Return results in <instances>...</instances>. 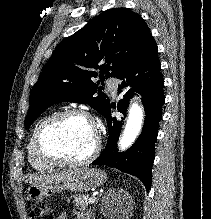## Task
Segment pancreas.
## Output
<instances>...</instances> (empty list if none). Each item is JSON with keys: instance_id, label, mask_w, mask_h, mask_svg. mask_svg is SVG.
Wrapping results in <instances>:
<instances>
[{"instance_id": "cf45deb5", "label": "pancreas", "mask_w": 211, "mask_h": 219, "mask_svg": "<svg viewBox=\"0 0 211 219\" xmlns=\"http://www.w3.org/2000/svg\"><path fill=\"white\" fill-rule=\"evenodd\" d=\"M90 201V196L88 194H77L74 196L73 203L77 207H86Z\"/></svg>"}]
</instances>
